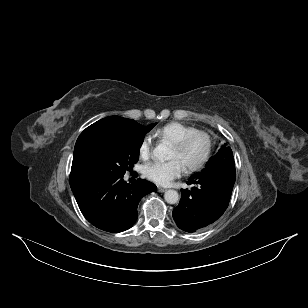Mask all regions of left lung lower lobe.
I'll return each mask as SVG.
<instances>
[{"instance_id":"left-lung-lower-lobe-1","label":"left lung lower lobe","mask_w":308,"mask_h":308,"mask_svg":"<svg viewBox=\"0 0 308 308\" xmlns=\"http://www.w3.org/2000/svg\"><path fill=\"white\" fill-rule=\"evenodd\" d=\"M236 179L234 159H223L192 175L182 189V199L173 210L177 226L186 232L202 230L216 221L228 207Z\"/></svg>"}]
</instances>
